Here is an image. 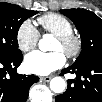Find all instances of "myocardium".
I'll use <instances>...</instances> for the list:
<instances>
[{"instance_id":"obj_1","label":"myocardium","mask_w":102,"mask_h":102,"mask_svg":"<svg viewBox=\"0 0 102 102\" xmlns=\"http://www.w3.org/2000/svg\"><path fill=\"white\" fill-rule=\"evenodd\" d=\"M56 40L63 48L64 55L69 59L79 56L82 50V39L79 34L73 32L56 36Z\"/></svg>"}]
</instances>
